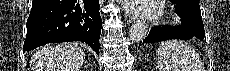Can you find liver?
<instances>
[{
	"label": "liver",
	"instance_id": "6515ba94",
	"mask_svg": "<svg viewBox=\"0 0 230 71\" xmlns=\"http://www.w3.org/2000/svg\"><path fill=\"white\" fill-rule=\"evenodd\" d=\"M85 52L77 43L47 46L36 51L30 61L32 71H79Z\"/></svg>",
	"mask_w": 230,
	"mask_h": 71
}]
</instances>
